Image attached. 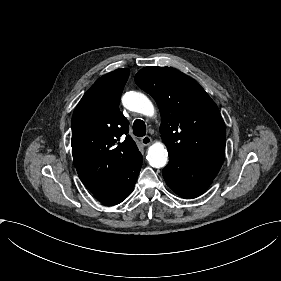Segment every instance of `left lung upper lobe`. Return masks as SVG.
<instances>
[{
    "label": "left lung upper lobe",
    "instance_id": "left-lung-upper-lobe-1",
    "mask_svg": "<svg viewBox=\"0 0 281 281\" xmlns=\"http://www.w3.org/2000/svg\"><path fill=\"white\" fill-rule=\"evenodd\" d=\"M135 81L158 104L160 133L169 155L223 163L224 121L217 105L194 79L174 68L145 67Z\"/></svg>",
    "mask_w": 281,
    "mask_h": 281
}]
</instances>
